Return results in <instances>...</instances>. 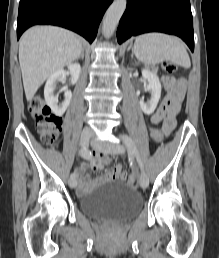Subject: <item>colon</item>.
<instances>
[{"label": "colon", "instance_id": "obj_1", "mask_svg": "<svg viewBox=\"0 0 219 258\" xmlns=\"http://www.w3.org/2000/svg\"><path fill=\"white\" fill-rule=\"evenodd\" d=\"M163 69L165 72L171 74L177 70V66L171 61H166L163 63ZM29 112L43 142L47 145H53L61 133L62 119L51 112L43 97L39 95L31 99ZM150 132L154 144H161L163 141V132L159 124H151ZM136 182L135 176L131 175L128 178V184L130 186L134 187Z\"/></svg>", "mask_w": 219, "mask_h": 258}]
</instances>
